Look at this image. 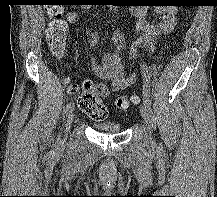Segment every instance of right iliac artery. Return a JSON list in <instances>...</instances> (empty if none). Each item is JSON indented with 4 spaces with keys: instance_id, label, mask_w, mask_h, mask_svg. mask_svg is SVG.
Returning a JSON list of instances; mask_svg holds the SVG:
<instances>
[{
    "instance_id": "1",
    "label": "right iliac artery",
    "mask_w": 217,
    "mask_h": 197,
    "mask_svg": "<svg viewBox=\"0 0 217 197\" xmlns=\"http://www.w3.org/2000/svg\"><path fill=\"white\" fill-rule=\"evenodd\" d=\"M74 109V103L73 102H70L69 104L66 105V108H65V113H68L70 111H72Z\"/></svg>"
}]
</instances>
